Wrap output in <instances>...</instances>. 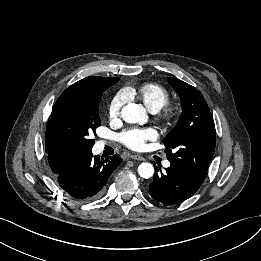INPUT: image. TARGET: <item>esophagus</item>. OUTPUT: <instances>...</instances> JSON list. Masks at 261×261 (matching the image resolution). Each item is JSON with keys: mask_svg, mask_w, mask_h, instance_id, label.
Listing matches in <instances>:
<instances>
[{"mask_svg": "<svg viewBox=\"0 0 261 261\" xmlns=\"http://www.w3.org/2000/svg\"><path fill=\"white\" fill-rule=\"evenodd\" d=\"M130 158L134 159V160H139V161H143L144 160V157H142L140 155H136V154L130 155Z\"/></svg>", "mask_w": 261, "mask_h": 261, "instance_id": "1", "label": "esophagus"}]
</instances>
